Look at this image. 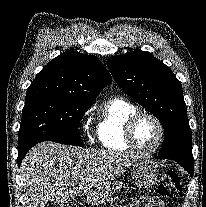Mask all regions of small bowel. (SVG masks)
I'll list each match as a JSON object with an SVG mask.
<instances>
[{"mask_svg": "<svg viewBox=\"0 0 206 207\" xmlns=\"http://www.w3.org/2000/svg\"><path fill=\"white\" fill-rule=\"evenodd\" d=\"M119 207H164V202L157 197L144 196L130 202L129 205Z\"/></svg>", "mask_w": 206, "mask_h": 207, "instance_id": "c3829d8e", "label": "small bowel"}]
</instances>
